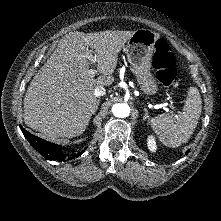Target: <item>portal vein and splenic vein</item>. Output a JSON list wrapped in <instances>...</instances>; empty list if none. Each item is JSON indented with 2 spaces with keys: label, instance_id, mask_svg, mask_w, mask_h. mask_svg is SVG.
I'll use <instances>...</instances> for the list:
<instances>
[{
  "label": "portal vein and splenic vein",
  "instance_id": "obj_1",
  "mask_svg": "<svg viewBox=\"0 0 221 221\" xmlns=\"http://www.w3.org/2000/svg\"><path fill=\"white\" fill-rule=\"evenodd\" d=\"M90 52H91V51H89V52L87 53V58L89 59V61H91L92 64H94V63H95V59H94L93 55H92ZM88 74L90 75V77L93 78V77L95 76V74H96V70L93 69V68H91V69L88 71ZM170 107H173V106L170 105ZM165 110L168 111L167 108H166Z\"/></svg>",
  "mask_w": 221,
  "mask_h": 221
}]
</instances>
